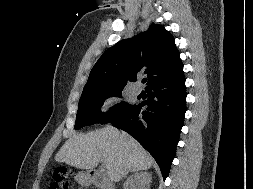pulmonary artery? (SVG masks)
<instances>
[{"mask_svg":"<svg viewBox=\"0 0 253 189\" xmlns=\"http://www.w3.org/2000/svg\"><path fill=\"white\" fill-rule=\"evenodd\" d=\"M141 91H142V87H141L140 82H138V83H136V84L134 85V87H133V93H134L135 95H138V94L141 93Z\"/></svg>","mask_w":253,"mask_h":189,"instance_id":"e3ab8cb5","label":"pulmonary artery"}]
</instances>
